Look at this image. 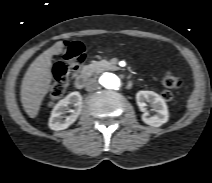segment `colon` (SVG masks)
Instances as JSON below:
<instances>
[{"label": "colon", "instance_id": "1", "mask_svg": "<svg viewBox=\"0 0 212 183\" xmlns=\"http://www.w3.org/2000/svg\"><path fill=\"white\" fill-rule=\"evenodd\" d=\"M84 60V48L78 42L66 43L62 52V61L57 62L53 68V79L49 94L51 102L59 100L66 92L69 81L77 74ZM182 78L172 70L162 74L161 84L165 88L162 98L170 101L173 98L172 89L182 85Z\"/></svg>", "mask_w": 212, "mask_h": 183}]
</instances>
